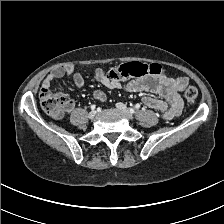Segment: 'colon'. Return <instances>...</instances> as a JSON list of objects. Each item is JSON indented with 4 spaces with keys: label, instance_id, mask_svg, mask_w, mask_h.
<instances>
[{
    "label": "colon",
    "instance_id": "colon-1",
    "mask_svg": "<svg viewBox=\"0 0 224 224\" xmlns=\"http://www.w3.org/2000/svg\"><path fill=\"white\" fill-rule=\"evenodd\" d=\"M162 74V66L156 63H129L109 71V77L115 80ZM39 97L43 110L52 117H58L68 103L67 96L64 93L52 92L49 89H42ZM184 97L188 102L193 103L198 97V90L193 86H189L184 91Z\"/></svg>",
    "mask_w": 224,
    "mask_h": 224
}]
</instances>
